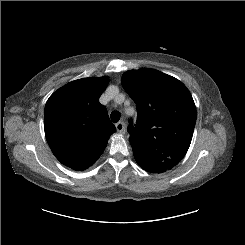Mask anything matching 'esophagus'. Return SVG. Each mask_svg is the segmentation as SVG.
Returning a JSON list of instances; mask_svg holds the SVG:
<instances>
[{"label":"esophagus","instance_id":"34e87169","mask_svg":"<svg viewBox=\"0 0 245 245\" xmlns=\"http://www.w3.org/2000/svg\"><path fill=\"white\" fill-rule=\"evenodd\" d=\"M116 130L119 132V133H125L126 132V127H125V124L123 122H118L116 125Z\"/></svg>","mask_w":245,"mask_h":245}]
</instances>
